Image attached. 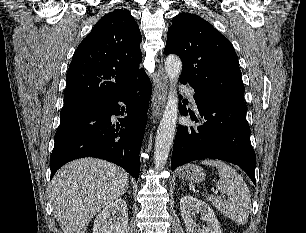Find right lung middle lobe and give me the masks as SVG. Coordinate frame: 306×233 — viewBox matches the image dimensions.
I'll list each match as a JSON object with an SVG mask.
<instances>
[{"label": "right lung middle lobe", "mask_w": 306, "mask_h": 233, "mask_svg": "<svg viewBox=\"0 0 306 233\" xmlns=\"http://www.w3.org/2000/svg\"><path fill=\"white\" fill-rule=\"evenodd\" d=\"M91 105H94V104H83V105H74V106L64 107L61 110L60 115L67 114V113L72 112V111L80 110V109H83V108L91 106Z\"/></svg>", "instance_id": "obj_1"}]
</instances>
